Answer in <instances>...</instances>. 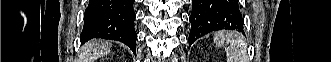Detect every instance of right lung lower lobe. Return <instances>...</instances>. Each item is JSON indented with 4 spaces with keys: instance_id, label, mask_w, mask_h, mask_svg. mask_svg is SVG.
Listing matches in <instances>:
<instances>
[{
    "instance_id": "98d812e1",
    "label": "right lung lower lobe",
    "mask_w": 331,
    "mask_h": 62,
    "mask_svg": "<svg viewBox=\"0 0 331 62\" xmlns=\"http://www.w3.org/2000/svg\"><path fill=\"white\" fill-rule=\"evenodd\" d=\"M134 0H90L84 14L82 44L93 38L125 43L136 53Z\"/></svg>"
}]
</instances>
